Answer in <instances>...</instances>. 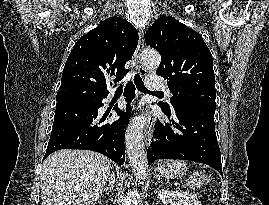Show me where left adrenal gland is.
<instances>
[{
  "instance_id": "left-adrenal-gland-1",
  "label": "left adrenal gland",
  "mask_w": 269,
  "mask_h": 205,
  "mask_svg": "<svg viewBox=\"0 0 269 205\" xmlns=\"http://www.w3.org/2000/svg\"><path fill=\"white\" fill-rule=\"evenodd\" d=\"M156 179H157L156 184H158V183L162 182V181H160L161 179H160V177H159L158 175H156Z\"/></svg>"
}]
</instances>
